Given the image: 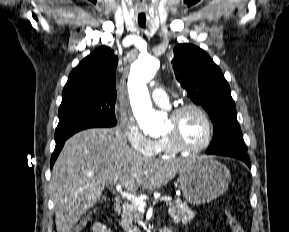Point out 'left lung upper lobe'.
Wrapping results in <instances>:
<instances>
[{
    "label": "left lung upper lobe",
    "instance_id": "1",
    "mask_svg": "<svg viewBox=\"0 0 289 232\" xmlns=\"http://www.w3.org/2000/svg\"><path fill=\"white\" fill-rule=\"evenodd\" d=\"M172 64L181 87L207 111L213 123V139L206 153L246 151L229 84L210 56L197 46L178 44Z\"/></svg>",
    "mask_w": 289,
    "mask_h": 232
}]
</instances>
